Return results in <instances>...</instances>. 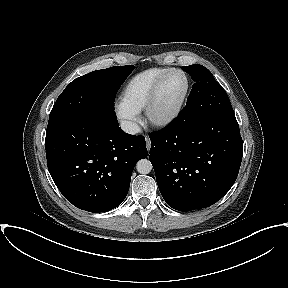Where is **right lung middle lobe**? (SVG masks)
Here are the masks:
<instances>
[{
  "label": "right lung middle lobe",
  "mask_w": 288,
  "mask_h": 288,
  "mask_svg": "<svg viewBox=\"0 0 288 288\" xmlns=\"http://www.w3.org/2000/svg\"><path fill=\"white\" fill-rule=\"evenodd\" d=\"M133 65L96 70L73 80L56 100L47 130L67 122L89 118L108 123L117 120L114 100Z\"/></svg>",
  "instance_id": "obj_1"
}]
</instances>
